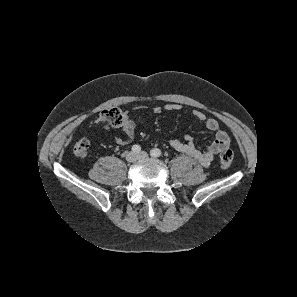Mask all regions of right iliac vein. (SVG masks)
<instances>
[{
	"instance_id": "63e3f726",
	"label": "right iliac vein",
	"mask_w": 297,
	"mask_h": 297,
	"mask_svg": "<svg viewBox=\"0 0 297 297\" xmlns=\"http://www.w3.org/2000/svg\"><path fill=\"white\" fill-rule=\"evenodd\" d=\"M138 158H137V155H136V153H134V152H128L127 154H126V160L128 161V162H134V161H136Z\"/></svg>"
}]
</instances>
